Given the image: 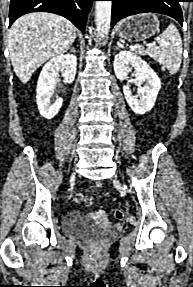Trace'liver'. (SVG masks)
Listing matches in <instances>:
<instances>
[{
    "label": "liver",
    "instance_id": "liver-1",
    "mask_svg": "<svg viewBox=\"0 0 193 287\" xmlns=\"http://www.w3.org/2000/svg\"><path fill=\"white\" fill-rule=\"evenodd\" d=\"M76 38V27L66 18L45 12L17 19L9 30L8 47L13 69L25 84L50 58L65 53Z\"/></svg>",
    "mask_w": 193,
    "mask_h": 287
}]
</instances>
